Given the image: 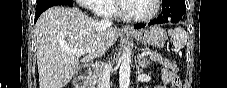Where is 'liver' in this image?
Here are the masks:
<instances>
[{
	"instance_id": "liver-1",
	"label": "liver",
	"mask_w": 227,
	"mask_h": 88,
	"mask_svg": "<svg viewBox=\"0 0 227 88\" xmlns=\"http://www.w3.org/2000/svg\"><path fill=\"white\" fill-rule=\"evenodd\" d=\"M35 34L40 88H64L80 62L84 64L102 55L118 38L116 29H101L98 21L78 8L58 6L41 14ZM85 48L90 52L81 60L65 50Z\"/></svg>"
}]
</instances>
